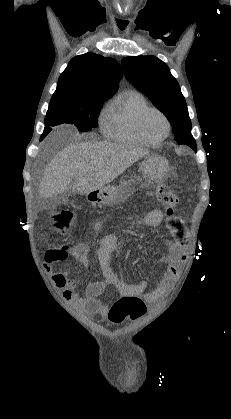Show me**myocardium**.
Here are the masks:
<instances>
[{"mask_svg": "<svg viewBox=\"0 0 231 419\" xmlns=\"http://www.w3.org/2000/svg\"><path fill=\"white\" fill-rule=\"evenodd\" d=\"M150 112L159 113L162 116V118L164 119L165 123H166V127H167L166 132L162 137H160L158 139L149 138L143 130V121H144L145 117L147 116V114L150 113ZM135 126H136V130H137V133L140 136V138L143 141H145L147 144H152V145L158 144V143L164 141L169 136L170 131H171V123H170V120H169L168 116L161 109L156 108V107H150V106L145 108L144 110H142L139 113V115L136 118Z\"/></svg>", "mask_w": 231, "mask_h": 419, "instance_id": "1", "label": "myocardium"}]
</instances>
